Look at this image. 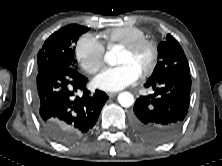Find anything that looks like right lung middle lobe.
Listing matches in <instances>:
<instances>
[{"instance_id": "dd1d6c3e", "label": "right lung middle lobe", "mask_w": 222, "mask_h": 166, "mask_svg": "<svg viewBox=\"0 0 222 166\" xmlns=\"http://www.w3.org/2000/svg\"><path fill=\"white\" fill-rule=\"evenodd\" d=\"M88 30L87 27L71 24L53 33L38 52V71L54 65L74 68L76 62L73 54L74 43Z\"/></svg>"}]
</instances>
